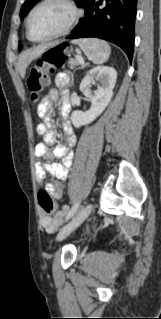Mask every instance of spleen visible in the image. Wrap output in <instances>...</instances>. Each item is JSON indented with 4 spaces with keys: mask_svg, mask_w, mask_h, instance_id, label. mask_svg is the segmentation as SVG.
<instances>
[{
    "mask_svg": "<svg viewBox=\"0 0 161 319\" xmlns=\"http://www.w3.org/2000/svg\"><path fill=\"white\" fill-rule=\"evenodd\" d=\"M73 43L77 44L84 52V54L88 57V59L94 64L105 63L111 53L109 44L100 39H78L73 41Z\"/></svg>",
    "mask_w": 161,
    "mask_h": 319,
    "instance_id": "1",
    "label": "spleen"
}]
</instances>
